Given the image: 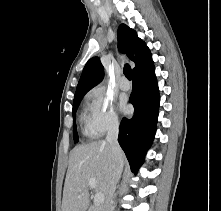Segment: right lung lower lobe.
<instances>
[{
  "mask_svg": "<svg viewBox=\"0 0 221 211\" xmlns=\"http://www.w3.org/2000/svg\"><path fill=\"white\" fill-rule=\"evenodd\" d=\"M129 101L134 106V116L122 119L118 142L131 170L136 173L144 162L156 132L160 97L153 64L133 74Z\"/></svg>",
  "mask_w": 221,
  "mask_h": 211,
  "instance_id": "obj_1",
  "label": "right lung lower lobe"
}]
</instances>
